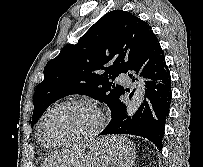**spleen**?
<instances>
[{
	"instance_id": "1",
	"label": "spleen",
	"mask_w": 203,
	"mask_h": 167,
	"mask_svg": "<svg viewBox=\"0 0 203 167\" xmlns=\"http://www.w3.org/2000/svg\"><path fill=\"white\" fill-rule=\"evenodd\" d=\"M135 160L133 144L123 145L114 152V167H132Z\"/></svg>"
}]
</instances>
